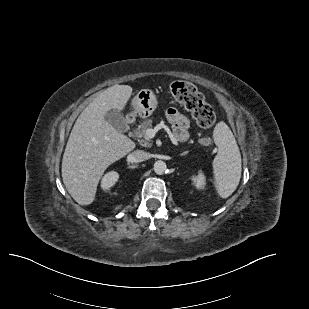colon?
I'll return each instance as SVG.
<instances>
[{
    "instance_id": "1",
    "label": "colon",
    "mask_w": 309,
    "mask_h": 309,
    "mask_svg": "<svg viewBox=\"0 0 309 309\" xmlns=\"http://www.w3.org/2000/svg\"><path fill=\"white\" fill-rule=\"evenodd\" d=\"M169 89L173 98L191 112L200 127L210 128L214 125L216 121L214 110L193 84L186 81H174L170 84ZM199 142L203 146H208L211 139L203 137Z\"/></svg>"
}]
</instances>
